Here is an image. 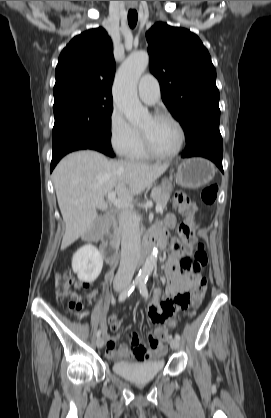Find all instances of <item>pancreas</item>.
Wrapping results in <instances>:
<instances>
[{
    "label": "pancreas",
    "mask_w": 271,
    "mask_h": 418,
    "mask_svg": "<svg viewBox=\"0 0 271 418\" xmlns=\"http://www.w3.org/2000/svg\"><path fill=\"white\" fill-rule=\"evenodd\" d=\"M170 197V189L167 187H155L152 189L151 198L165 208Z\"/></svg>",
    "instance_id": "obj_1"
}]
</instances>
